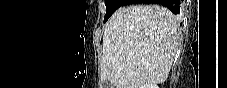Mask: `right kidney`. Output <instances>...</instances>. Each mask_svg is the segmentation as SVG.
<instances>
[{"instance_id":"obj_1","label":"right kidney","mask_w":227,"mask_h":88,"mask_svg":"<svg viewBox=\"0 0 227 88\" xmlns=\"http://www.w3.org/2000/svg\"><path fill=\"white\" fill-rule=\"evenodd\" d=\"M142 88H159L156 84H146Z\"/></svg>"}]
</instances>
